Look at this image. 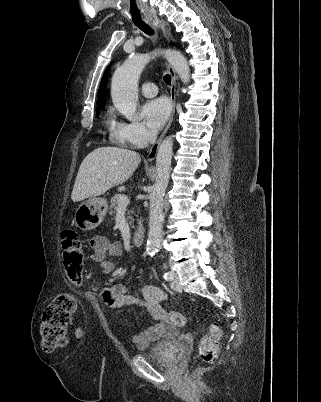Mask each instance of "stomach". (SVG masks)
I'll use <instances>...</instances> for the list:
<instances>
[{"mask_svg":"<svg viewBox=\"0 0 321 402\" xmlns=\"http://www.w3.org/2000/svg\"><path fill=\"white\" fill-rule=\"evenodd\" d=\"M107 210L108 204L105 198L92 196L77 207L74 223L81 230H92L103 222Z\"/></svg>","mask_w":321,"mask_h":402,"instance_id":"obj_1","label":"stomach"}]
</instances>
